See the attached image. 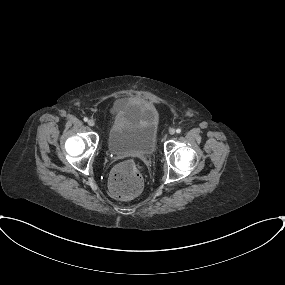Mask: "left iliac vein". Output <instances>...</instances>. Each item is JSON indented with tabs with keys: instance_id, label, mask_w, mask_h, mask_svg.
Here are the masks:
<instances>
[{
	"instance_id": "obj_1",
	"label": "left iliac vein",
	"mask_w": 285,
	"mask_h": 285,
	"mask_svg": "<svg viewBox=\"0 0 285 285\" xmlns=\"http://www.w3.org/2000/svg\"><path fill=\"white\" fill-rule=\"evenodd\" d=\"M169 134H170V135L175 134V129L171 128V129L169 130Z\"/></svg>"
}]
</instances>
